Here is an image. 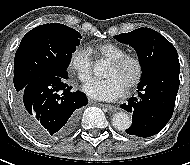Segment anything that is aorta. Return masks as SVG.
I'll return each mask as SVG.
<instances>
[{
  "label": "aorta",
  "instance_id": "aorta-1",
  "mask_svg": "<svg viewBox=\"0 0 190 165\" xmlns=\"http://www.w3.org/2000/svg\"><path fill=\"white\" fill-rule=\"evenodd\" d=\"M105 66H106L105 62L98 61L94 65V69H93L95 75L101 76L104 73ZM112 125L117 130H121V131L126 130L131 126V118L125 112H118L114 114L112 118Z\"/></svg>",
  "mask_w": 190,
  "mask_h": 165
}]
</instances>
